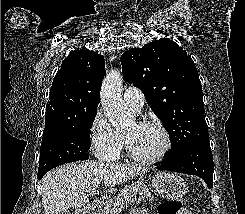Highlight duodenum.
Returning <instances> with one entry per match:
<instances>
[{"mask_svg":"<svg viewBox=\"0 0 245 214\" xmlns=\"http://www.w3.org/2000/svg\"><path fill=\"white\" fill-rule=\"evenodd\" d=\"M104 203L101 200L93 201L89 206L80 209L77 214H102Z\"/></svg>","mask_w":245,"mask_h":214,"instance_id":"410a0bca","label":"duodenum"}]
</instances>
